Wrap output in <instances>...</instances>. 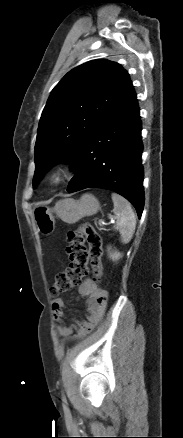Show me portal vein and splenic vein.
<instances>
[{
    "instance_id": "portal-vein-and-splenic-vein-1",
    "label": "portal vein and splenic vein",
    "mask_w": 183,
    "mask_h": 438,
    "mask_svg": "<svg viewBox=\"0 0 183 438\" xmlns=\"http://www.w3.org/2000/svg\"><path fill=\"white\" fill-rule=\"evenodd\" d=\"M111 223L112 222H114V220L113 219H111V221H110ZM99 224H101V225H108V223L107 222H105V220H99Z\"/></svg>"
}]
</instances>
